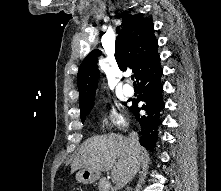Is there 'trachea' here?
<instances>
[{"mask_svg":"<svg viewBox=\"0 0 221 191\" xmlns=\"http://www.w3.org/2000/svg\"><path fill=\"white\" fill-rule=\"evenodd\" d=\"M131 79H132V80H134V77H133V76H131ZM134 83H135V82H134Z\"/></svg>","mask_w":221,"mask_h":191,"instance_id":"obj_1","label":"trachea"}]
</instances>
